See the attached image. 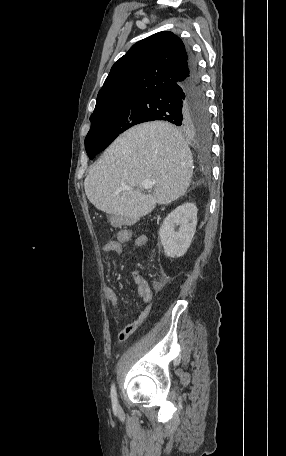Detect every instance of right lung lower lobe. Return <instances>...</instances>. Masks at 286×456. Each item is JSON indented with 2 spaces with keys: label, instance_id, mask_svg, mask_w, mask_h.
I'll list each match as a JSON object with an SVG mask.
<instances>
[{
  "label": "right lung lower lobe",
  "instance_id": "right-lung-lower-lobe-1",
  "mask_svg": "<svg viewBox=\"0 0 286 456\" xmlns=\"http://www.w3.org/2000/svg\"><path fill=\"white\" fill-rule=\"evenodd\" d=\"M187 73L185 78L139 96V103L144 107L143 122L169 121L189 131L209 115L197 62L191 52H188Z\"/></svg>",
  "mask_w": 286,
  "mask_h": 456
}]
</instances>
